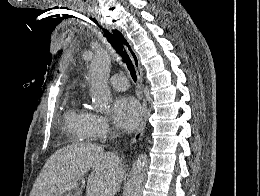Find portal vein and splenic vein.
Returning a JSON list of instances; mask_svg holds the SVG:
<instances>
[{"mask_svg": "<svg viewBox=\"0 0 260 196\" xmlns=\"http://www.w3.org/2000/svg\"><path fill=\"white\" fill-rule=\"evenodd\" d=\"M79 184H69V186H66V188H60L59 192L60 194H64V192H67V190H75V188H78Z\"/></svg>", "mask_w": 260, "mask_h": 196, "instance_id": "portal-vein-and-splenic-vein-1", "label": "portal vein and splenic vein"}]
</instances>
